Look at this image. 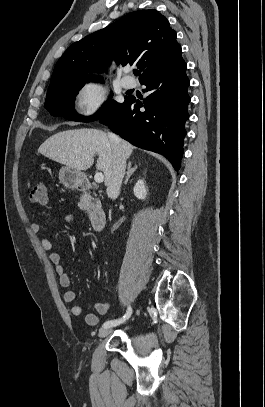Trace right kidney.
<instances>
[{"label":"right kidney","instance_id":"obj_1","mask_svg":"<svg viewBox=\"0 0 265 407\" xmlns=\"http://www.w3.org/2000/svg\"><path fill=\"white\" fill-rule=\"evenodd\" d=\"M134 195L141 200H144L147 196V189L145 183L142 179H139L134 188H133Z\"/></svg>","mask_w":265,"mask_h":407}]
</instances>
